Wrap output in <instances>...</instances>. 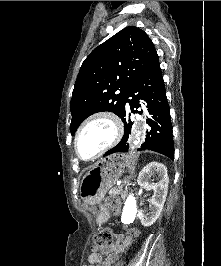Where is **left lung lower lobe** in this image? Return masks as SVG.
Returning <instances> with one entry per match:
<instances>
[{
	"instance_id": "obj_1",
	"label": "left lung lower lobe",
	"mask_w": 221,
	"mask_h": 266,
	"mask_svg": "<svg viewBox=\"0 0 221 266\" xmlns=\"http://www.w3.org/2000/svg\"><path fill=\"white\" fill-rule=\"evenodd\" d=\"M140 99L147 103V110L150 114L147 123L150 128L147 130L145 142L138 150L148 149L156 151L173 159L174 143L170 109L160 65L131 85L127 94L124 111L120 117L124 123V135L121 141L114 148L107 151L104 156L128 151L129 144L126 141L132 127L128 109L130 108L133 113L141 114L142 112L134 110V108L141 107Z\"/></svg>"
}]
</instances>
